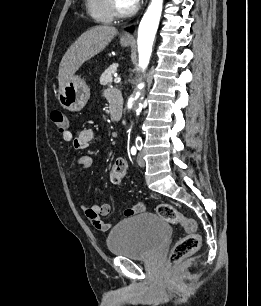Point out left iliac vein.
I'll return each instance as SVG.
<instances>
[{
    "instance_id": "left-iliac-vein-1",
    "label": "left iliac vein",
    "mask_w": 261,
    "mask_h": 306,
    "mask_svg": "<svg viewBox=\"0 0 261 306\" xmlns=\"http://www.w3.org/2000/svg\"><path fill=\"white\" fill-rule=\"evenodd\" d=\"M136 161L140 167H145V160L143 159L142 154L139 152L136 157Z\"/></svg>"
}]
</instances>
